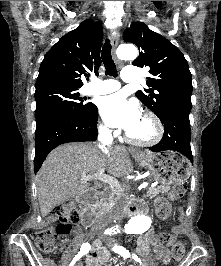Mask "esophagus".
Wrapping results in <instances>:
<instances>
[{
	"mask_svg": "<svg viewBox=\"0 0 221 266\" xmlns=\"http://www.w3.org/2000/svg\"><path fill=\"white\" fill-rule=\"evenodd\" d=\"M110 40H111V45H112L113 57H114L115 61L117 62V64L119 66H121V62L116 57V48H117L118 41H119V34L117 32L112 33L110 36ZM137 153H139V152H137Z\"/></svg>",
	"mask_w": 221,
	"mask_h": 266,
	"instance_id": "obj_1",
	"label": "esophagus"
}]
</instances>
